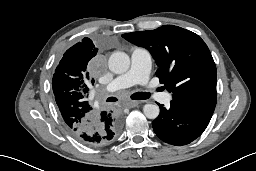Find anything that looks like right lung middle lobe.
Wrapping results in <instances>:
<instances>
[{
    "label": "right lung middle lobe",
    "mask_w": 256,
    "mask_h": 171,
    "mask_svg": "<svg viewBox=\"0 0 256 171\" xmlns=\"http://www.w3.org/2000/svg\"><path fill=\"white\" fill-rule=\"evenodd\" d=\"M60 64H62V66L58 65L57 68H60L59 72L62 78V86L69 93V95H77L82 97L84 92L78 88L80 84H78V76L74 73L73 65L68 62L62 63L61 61Z\"/></svg>",
    "instance_id": "1"
}]
</instances>
